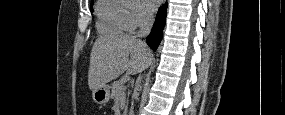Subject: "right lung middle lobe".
<instances>
[{
	"label": "right lung middle lobe",
	"mask_w": 285,
	"mask_h": 115,
	"mask_svg": "<svg viewBox=\"0 0 285 115\" xmlns=\"http://www.w3.org/2000/svg\"><path fill=\"white\" fill-rule=\"evenodd\" d=\"M92 5H93V2H91V10H92Z\"/></svg>",
	"instance_id": "obj_1"
}]
</instances>
